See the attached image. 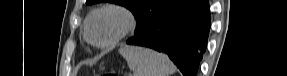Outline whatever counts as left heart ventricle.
<instances>
[{
	"label": "left heart ventricle",
	"instance_id": "obj_1",
	"mask_svg": "<svg viewBox=\"0 0 287 76\" xmlns=\"http://www.w3.org/2000/svg\"><path fill=\"white\" fill-rule=\"evenodd\" d=\"M122 22V17L116 13H103L92 21L90 35L95 41H107L119 31Z\"/></svg>",
	"mask_w": 287,
	"mask_h": 76
}]
</instances>
